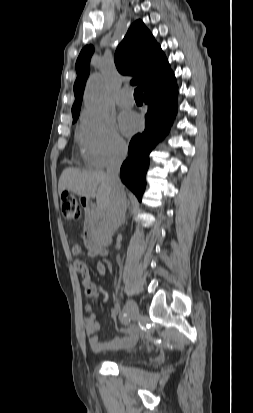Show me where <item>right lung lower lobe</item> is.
I'll list each match as a JSON object with an SVG mask.
<instances>
[{"label":"right lung lower lobe","mask_w":253,"mask_h":413,"mask_svg":"<svg viewBox=\"0 0 253 413\" xmlns=\"http://www.w3.org/2000/svg\"><path fill=\"white\" fill-rule=\"evenodd\" d=\"M177 95L176 80L152 83L144 90L145 103L148 105L145 130L132 138L128 157L120 170L123 183L140 201L146 185L149 154L169 132L177 113Z\"/></svg>","instance_id":"right-lung-lower-lobe-1"}]
</instances>
